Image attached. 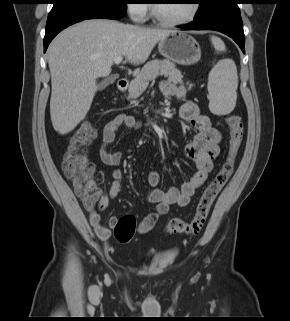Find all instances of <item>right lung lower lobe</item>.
<instances>
[{
  "instance_id": "right-lung-lower-lobe-1",
  "label": "right lung lower lobe",
  "mask_w": 290,
  "mask_h": 321,
  "mask_svg": "<svg viewBox=\"0 0 290 321\" xmlns=\"http://www.w3.org/2000/svg\"><path fill=\"white\" fill-rule=\"evenodd\" d=\"M125 15V10L114 11H99V12H87L77 10H60L51 11L46 23V31L44 37V51H46L51 40L66 27L83 21L85 19H114L118 20Z\"/></svg>"
}]
</instances>
